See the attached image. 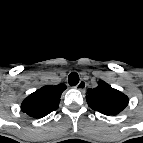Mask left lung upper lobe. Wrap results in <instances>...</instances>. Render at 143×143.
Here are the masks:
<instances>
[{"label":"left lung upper lobe","instance_id":"5c2ea615","mask_svg":"<svg viewBox=\"0 0 143 143\" xmlns=\"http://www.w3.org/2000/svg\"><path fill=\"white\" fill-rule=\"evenodd\" d=\"M86 100L91 109L108 116L119 114L129 101L125 94L102 80L98 82L96 88L87 90Z\"/></svg>","mask_w":143,"mask_h":143}]
</instances>
